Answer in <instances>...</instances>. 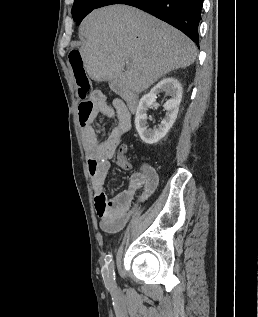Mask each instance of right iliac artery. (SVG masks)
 Here are the masks:
<instances>
[{
  "label": "right iliac artery",
  "instance_id": "82829eb1",
  "mask_svg": "<svg viewBox=\"0 0 258 317\" xmlns=\"http://www.w3.org/2000/svg\"><path fill=\"white\" fill-rule=\"evenodd\" d=\"M104 283H105V287L107 288L108 291H110V293H115L117 286H116L114 262H112L110 265V279L106 280Z\"/></svg>",
  "mask_w": 258,
  "mask_h": 317
}]
</instances>
